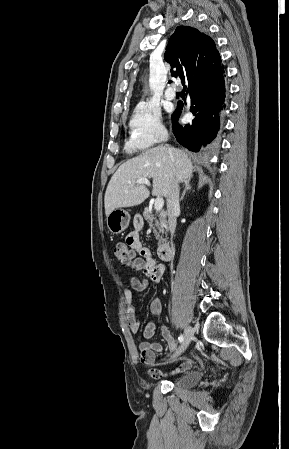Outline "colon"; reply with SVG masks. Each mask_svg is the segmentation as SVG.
Here are the masks:
<instances>
[{
  "instance_id": "1",
  "label": "colon",
  "mask_w": 289,
  "mask_h": 449,
  "mask_svg": "<svg viewBox=\"0 0 289 449\" xmlns=\"http://www.w3.org/2000/svg\"><path fill=\"white\" fill-rule=\"evenodd\" d=\"M114 255L123 265H128L135 258L134 250L126 242H118L115 245Z\"/></svg>"
}]
</instances>
